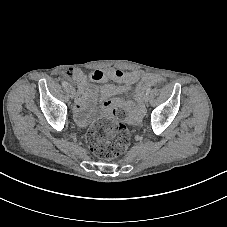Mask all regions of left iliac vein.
I'll list each match as a JSON object with an SVG mask.
<instances>
[{"mask_svg": "<svg viewBox=\"0 0 227 227\" xmlns=\"http://www.w3.org/2000/svg\"><path fill=\"white\" fill-rule=\"evenodd\" d=\"M143 100L145 103H147L149 101V95L145 94Z\"/></svg>", "mask_w": 227, "mask_h": 227, "instance_id": "4c4485c4", "label": "left iliac vein"}]
</instances>
